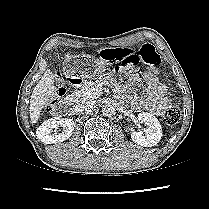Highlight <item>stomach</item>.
I'll use <instances>...</instances> for the list:
<instances>
[{"label":"stomach","mask_w":209,"mask_h":209,"mask_svg":"<svg viewBox=\"0 0 209 209\" xmlns=\"http://www.w3.org/2000/svg\"><path fill=\"white\" fill-rule=\"evenodd\" d=\"M106 60L94 56H75L68 58L63 65L64 72L71 77L77 75H97L105 71Z\"/></svg>","instance_id":"obj_1"}]
</instances>
